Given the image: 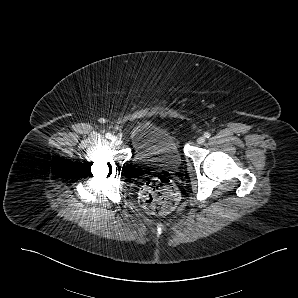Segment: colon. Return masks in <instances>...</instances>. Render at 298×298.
<instances>
[{
	"instance_id": "colon-1",
	"label": "colon",
	"mask_w": 298,
	"mask_h": 298,
	"mask_svg": "<svg viewBox=\"0 0 298 298\" xmlns=\"http://www.w3.org/2000/svg\"><path fill=\"white\" fill-rule=\"evenodd\" d=\"M139 202L148 213L163 215L175 209L179 194L169 178L160 176L150 179L141 188Z\"/></svg>"
}]
</instances>
